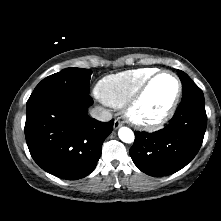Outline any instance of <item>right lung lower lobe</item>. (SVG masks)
Here are the masks:
<instances>
[{"label":"right lung lower lobe","instance_id":"right-lung-lower-lobe-1","mask_svg":"<svg viewBox=\"0 0 221 221\" xmlns=\"http://www.w3.org/2000/svg\"><path fill=\"white\" fill-rule=\"evenodd\" d=\"M93 103L88 92H58L27 103L25 137L34 161L46 172L76 180L97 165L114 121L99 122L87 115Z\"/></svg>","mask_w":221,"mask_h":221}]
</instances>
